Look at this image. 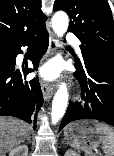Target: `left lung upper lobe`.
<instances>
[{"instance_id": "1", "label": "left lung upper lobe", "mask_w": 114, "mask_h": 156, "mask_svg": "<svg viewBox=\"0 0 114 156\" xmlns=\"http://www.w3.org/2000/svg\"><path fill=\"white\" fill-rule=\"evenodd\" d=\"M54 10L69 15L68 31L82 42V53L114 63V21L107 0H56Z\"/></svg>"}]
</instances>
